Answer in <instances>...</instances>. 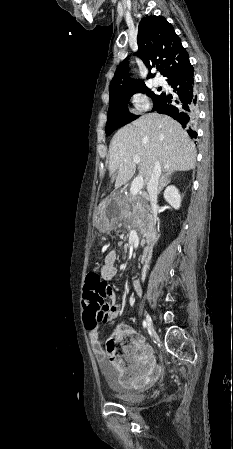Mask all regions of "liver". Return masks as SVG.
<instances>
[{"label": "liver", "mask_w": 233, "mask_h": 449, "mask_svg": "<svg viewBox=\"0 0 233 449\" xmlns=\"http://www.w3.org/2000/svg\"><path fill=\"white\" fill-rule=\"evenodd\" d=\"M109 154V172H117L116 189L135 174L133 156L141 159L140 175L145 182L157 161L165 172L188 171L196 161V148L186 131L174 119L158 113L142 116L118 130Z\"/></svg>", "instance_id": "6515ba94"}]
</instances>
